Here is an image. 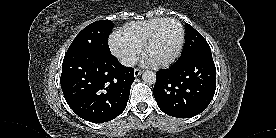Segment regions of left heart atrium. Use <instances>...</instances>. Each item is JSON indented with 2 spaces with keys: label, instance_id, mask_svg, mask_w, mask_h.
I'll return each mask as SVG.
<instances>
[{
  "label": "left heart atrium",
  "instance_id": "1",
  "mask_svg": "<svg viewBox=\"0 0 276 138\" xmlns=\"http://www.w3.org/2000/svg\"><path fill=\"white\" fill-rule=\"evenodd\" d=\"M146 62H147V63H151L148 59H146Z\"/></svg>",
  "mask_w": 276,
  "mask_h": 138
}]
</instances>
